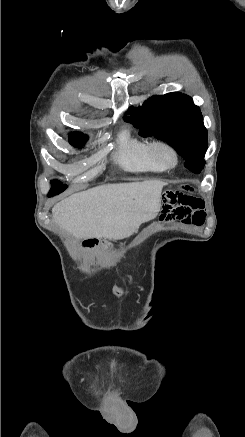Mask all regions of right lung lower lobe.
<instances>
[{
	"label": "right lung lower lobe",
	"mask_w": 245,
	"mask_h": 437,
	"mask_svg": "<svg viewBox=\"0 0 245 437\" xmlns=\"http://www.w3.org/2000/svg\"><path fill=\"white\" fill-rule=\"evenodd\" d=\"M64 189H65V188H63V189H58L56 186H53L52 189L50 190L49 194H48V197H52V196H54V195H56V194H59V193H61Z\"/></svg>",
	"instance_id": "1"
}]
</instances>
